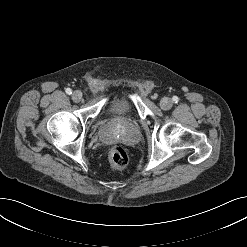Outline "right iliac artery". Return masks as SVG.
Listing matches in <instances>:
<instances>
[{
	"label": "right iliac artery",
	"mask_w": 247,
	"mask_h": 247,
	"mask_svg": "<svg viewBox=\"0 0 247 247\" xmlns=\"http://www.w3.org/2000/svg\"><path fill=\"white\" fill-rule=\"evenodd\" d=\"M66 93L70 95V94H72V90L70 88H67Z\"/></svg>",
	"instance_id": "1"
}]
</instances>
